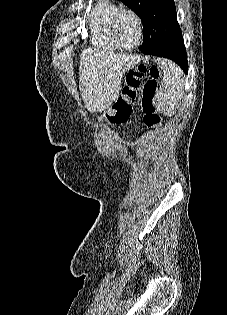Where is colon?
<instances>
[{"label": "colon", "mask_w": 227, "mask_h": 315, "mask_svg": "<svg viewBox=\"0 0 227 315\" xmlns=\"http://www.w3.org/2000/svg\"><path fill=\"white\" fill-rule=\"evenodd\" d=\"M159 70L155 66L138 65L130 69L126 75V83L122 95L104 114V119L112 124H120L130 116L131 102L135 100L137 91L141 89V111L146 126L160 130L161 118L154 100L158 91Z\"/></svg>", "instance_id": "1"}]
</instances>
